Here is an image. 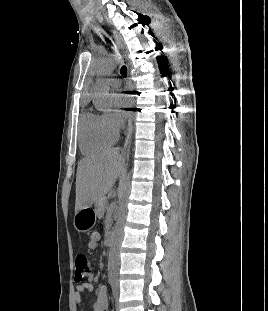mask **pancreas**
Listing matches in <instances>:
<instances>
[{"label":"pancreas","instance_id":"cf45deb5","mask_svg":"<svg viewBox=\"0 0 268 311\" xmlns=\"http://www.w3.org/2000/svg\"><path fill=\"white\" fill-rule=\"evenodd\" d=\"M106 205L107 200L105 197H102L95 202V212L98 217L103 216Z\"/></svg>","mask_w":268,"mask_h":311}]
</instances>
